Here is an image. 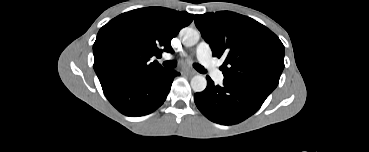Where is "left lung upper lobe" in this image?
Listing matches in <instances>:
<instances>
[{
	"label": "left lung upper lobe",
	"instance_id": "left-lung-upper-lobe-1",
	"mask_svg": "<svg viewBox=\"0 0 369 152\" xmlns=\"http://www.w3.org/2000/svg\"><path fill=\"white\" fill-rule=\"evenodd\" d=\"M195 25L213 56L226 57L224 80L272 92L284 69V46L267 27L230 11L195 15Z\"/></svg>",
	"mask_w": 369,
	"mask_h": 152
}]
</instances>
